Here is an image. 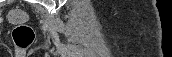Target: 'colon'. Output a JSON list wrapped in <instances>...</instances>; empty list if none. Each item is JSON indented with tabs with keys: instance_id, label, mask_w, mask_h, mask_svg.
<instances>
[{
	"instance_id": "colon-1",
	"label": "colon",
	"mask_w": 172,
	"mask_h": 57,
	"mask_svg": "<svg viewBox=\"0 0 172 57\" xmlns=\"http://www.w3.org/2000/svg\"><path fill=\"white\" fill-rule=\"evenodd\" d=\"M26 18V13L20 10H11L8 13L10 23L15 25L12 31V38L17 49L18 57L24 56L26 50L35 39L34 29L24 23Z\"/></svg>"
}]
</instances>
